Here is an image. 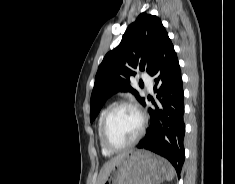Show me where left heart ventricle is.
<instances>
[{
  "mask_svg": "<svg viewBox=\"0 0 235 184\" xmlns=\"http://www.w3.org/2000/svg\"><path fill=\"white\" fill-rule=\"evenodd\" d=\"M139 127L138 113L130 107H121L110 118L108 138L114 145L126 144L136 136Z\"/></svg>",
  "mask_w": 235,
  "mask_h": 184,
  "instance_id": "1",
  "label": "left heart ventricle"
}]
</instances>
